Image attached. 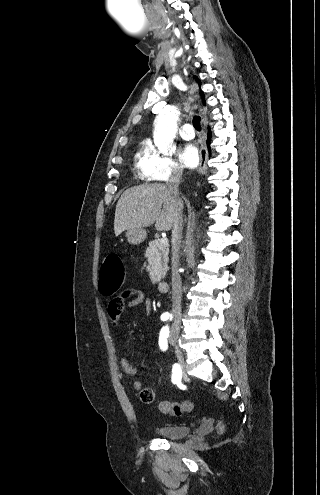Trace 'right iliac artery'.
Returning <instances> with one entry per match:
<instances>
[{"label": "right iliac artery", "mask_w": 320, "mask_h": 495, "mask_svg": "<svg viewBox=\"0 0 320 495\" xmlns=\"http://www.w3.org/2000/svg\"><path fill=\"white\" fill-rule=\"evenodd\" d=\"M169 319V315L168 314H163L161 315V320L162 321H167ZM181 380V369H180V366L178 364H174L173 365V369H172V382L173 383H177Z\"/></svg>", "instance_id": "82829eb1"}]
</instances>
